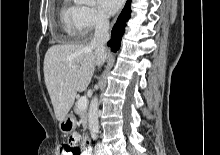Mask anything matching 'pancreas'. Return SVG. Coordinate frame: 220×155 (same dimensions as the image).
<instances>
[{
	"mask_svg": "<svg viewBox=\"0 0 220 155\" xmlns=\"http://www.w3.org/2000/svg\"><path fill=\"white\" fill-rule=\"evenodd\" d=\"M74 112L83 119V124L85 126L87 123V109L86 108L83 110L79 109L78 101H77L74 106Z\"/></svg>",
	"mask_w": 220,
	"mask_h": 155,
	"instance_id": "cf45deb5",
	"label": "pancreas"
}]
</instances>
